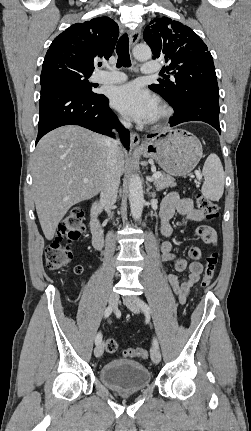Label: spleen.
<instances>
[{
    "label": "spleen",
    "instance_id": "1",
    "mask_svg": "<svg viewBox=\"0 0 251 431\" xmlns=\"http://www.w3.org/2000/svg\"><path fill=\"white\" fill-rule=\"evenodd\" d=\"M202 174L204 176L202 194L212 201H218L224 192L225 175L222 163L215 153L207 157Z\"/></svg>",
    "mask_w": 251,
    "mask_h": 431
}]
</instances>
